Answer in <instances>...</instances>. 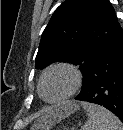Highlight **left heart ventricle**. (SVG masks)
<instances>
[{"label":"left heart ventricle","instance_id":"left-heart-ventricle-1","mask_svg":"<svg viewBox=\"0 0 123 130\" xmlns=\"http://www.w3.org/2000/svg\"><path fill=\"white\" fill-rule=\"evenodd\" d=\"M73 77L64 69L49 72L43 82V94L47 99H57L66 94L72 87Z\"/></svg>","mask_w":123,"mask_h":130}]
</instances>
